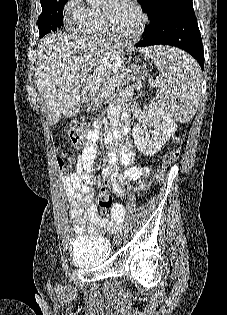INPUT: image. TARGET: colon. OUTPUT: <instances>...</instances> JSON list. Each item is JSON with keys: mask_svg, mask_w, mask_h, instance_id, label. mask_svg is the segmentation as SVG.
<instances>
[{"mask_svg": "<svg viewBox=\"0 0 227 315\" xmlns=\"http://www.w3.org/2000/svg\"><path fill=\"white\" fill-rule=\"evenodd\" d=\"M88 134L89 130L85 122L74 121L68 131V138L71 142V145L74 148H80L85 144ZM176 142H178V139H176ZM178 156H179L178 146L172 147L164 154L162 163L159 166L156 174L158 180L162 178L166 168L172 165L177 160ZM57 165L60 171L66 172L70 168L71 160L64 155L59 156L57 158ZM98 203L100 207L103 209H108L112 207L113 199L106 188H101V190L99 191Z\"/></svg>", "mask_w": 227, "mask_h": 315, "instance_id": "obj_1", "label": "colon"}]
</instances>
